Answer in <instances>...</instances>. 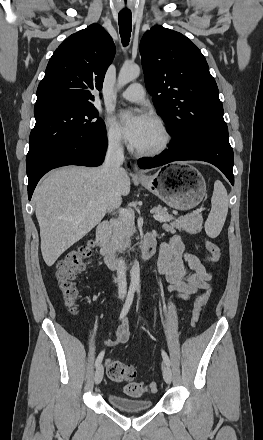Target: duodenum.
<instances>
[{"label":"duodenum","mask_w":263,"mask_h":440,"mask_svg":"<svg viewBox=\"0 0 263 440\" xmlns=\"http://www.w3.org/2000/svg\"><path fill=\"white\" fill-rule=\"evenodd\" d=\"M109 227L110 224L107 221H101L98 223L96 227L95 244L105 264L112 269H117L120 267V261L109 242ZM155 247L156 244L154 239L146 237L142 245V259L147 260L152 257L155 253Z\"/></svg>","instance_id":"duodenum-1"}]
</instances>
